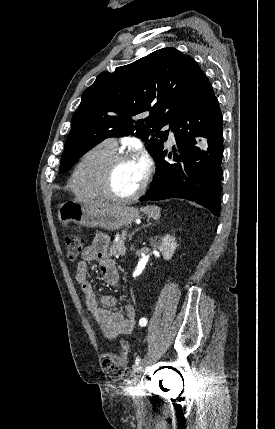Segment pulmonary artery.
Wrapping results in <instances>:
<instances>
[{
	"label": "pulmonary artery",
	"mask_w": 275,
	"mask_h": 429,
	"mask_svg": "<svg viewBox=\"0 0 275 429\" xmlns=\"http://www.w3.org/2000/svg\"><path fill=\"white\" fill-rule=\"evenodd\" d=\"M168 142L169 144H173L175 142L174 133L171 129H169V136H168ZM107 147L110 149L116 151L118 147V143L115 138H108L103 142Z\"/></svg>",
	"instance_id": "pulmonary-artery-1"
}]
</instances>
